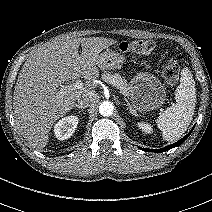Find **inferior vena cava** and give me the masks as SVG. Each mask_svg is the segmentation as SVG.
Listing matches in <instances>:
<instances>
[{"label":"inferior vena cava","instance_id":"1","mask_svg":"<svg viewBox=\"0 0 212 212\" xmlns=\"http://www.w3.org/2000/svg\"><path fill=\"white\" fill-rule=\"evenodd\" d=\"M77 100L79 105H82L84 107H90L97 102L98 96L94 91H88L85 93H81L78 96Z\"/></svg>","mask_w":212,"mask_h":212}]
</instances>
